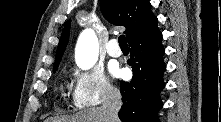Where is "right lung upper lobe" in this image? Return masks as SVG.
<instances>
[{"mask_svg": "<svg viewBox=\"0 0 221 122\" xmlns=\"http://www.w3.org/2000/svg\"><path fill=\"white\" fill-rule=\"evenodd\" d=\"M103 16L110 23L126 28L128 42L145 33L157 22L151 12V4L147 0H101ZM70 21L63 29L56 52L54 68H58L62 55L69 40Z\"/></svg>", "mask_w": 221, "mask_h": 122, "instance_id": "1", "label": "right lung upper lobe"}]
</instances>
